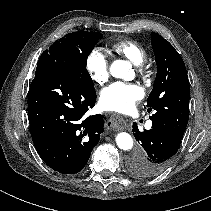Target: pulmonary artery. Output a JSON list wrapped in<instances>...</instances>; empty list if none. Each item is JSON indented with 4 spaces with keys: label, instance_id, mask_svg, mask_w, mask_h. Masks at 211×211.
I'll return each mask as SVG.
<instances>
[{
    "label": "pulmonary artery",
    "instance_id": "1",
    "mask_svg": "<svg viewBox=\"0 0 211 211\" xmlns=\"http://www.w3.org/2000/svg\"><path fill=\"white\" fill-rule=\"evenodd\" d=\"M151 126H152V122H151V121L147 122L146 127H147L148 129H150Z\"/></svg>",
    "mask_w": 211,
    "mask_h": 211
}]
</instances>
